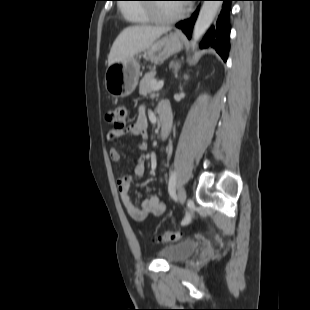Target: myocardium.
I'll return each instance as SVG.
<instances>
[{"mask_svg":"<svg viewBox=\"0 0 310 310\" xmlns=\"http://www.w3.org/2000/svg\"><path fill=\"white\" fill-rule=\"evenodd\" d=\"M147 10L151 19L158 23H168L179 20L187 13V9H181L180 11L173 14H161L158 10V7L155 6H149Z\"/></svg>","mask_w":310,"mask_h":310,"instance_id":"obj_1","label":"myocardium"}]
</instances>
